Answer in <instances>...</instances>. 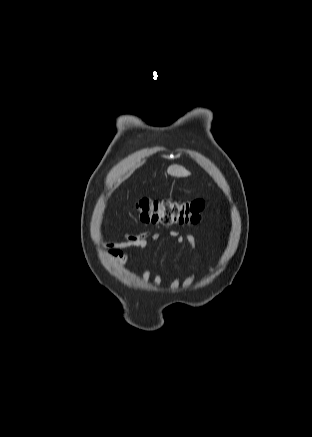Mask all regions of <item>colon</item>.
<instances>
[{
  "label": "colon",
  "mask_w": 312,
  "mask_h": 437,
  "mask_svg": "<svg viewBox=\"0 0 312 437\" xmlns=\"http://www.w3.org/2000/svg\"><path fill=\"white\" fill-rule=\"evenodd\" d=\"M207 204L203 200L177 201L142 198L136 202L138 219L145 224H197L202 220Z\"/></svg>",
  "instance_id": "colon-1"
}]
</instances>
